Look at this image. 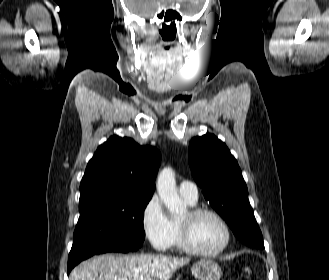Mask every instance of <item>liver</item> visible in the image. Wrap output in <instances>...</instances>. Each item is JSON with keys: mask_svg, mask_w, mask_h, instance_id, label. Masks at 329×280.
<instances>
[{"mask_svg": "<svg viewBox=\"0 0 329 280\" xmlns=\"http://www.w3.org/2000/svg\"><path fill=\"white\" fill-rule=\"evenodd\" d=\"M190 259L166 255H113L92 257L70 273V280H170Z\"/></svg>", "mask_w": 329, "mask_h": 280, "instance_id": "liver-1", "label": "liver"}]
</instances>
